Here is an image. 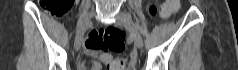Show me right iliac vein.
<instances>
[{
    "label": "right iliac vein",
    "instance_id": "1",
    "mask_svg": "<svg viewBox=\"0 0 238 70\" xmlns=\"http://www.w3.org/2000/svg\"><path fill=\"white\" fill-rule=\"evenodd\" d=\"M93 16H94V12H89L79 21L78 29H77V33L75 37V43H74L76 51H79L81 48L84 34L86 30L89 28L91 24V19Z\"/></svg>",
    "mask_w": 238,
    "mask_h": 70
}]
</instances>
